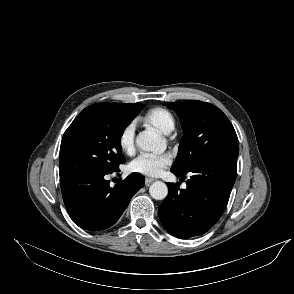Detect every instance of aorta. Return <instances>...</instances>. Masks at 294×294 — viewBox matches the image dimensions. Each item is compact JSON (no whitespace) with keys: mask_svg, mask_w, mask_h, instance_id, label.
Returning <instances> with one entry per match:
<instances>
[{"mask_svg":"<svg viewBox=\"0 0 294 294\" xmlns=\"http://www.w3.org/2000/svg\"><path fill=\"white\" fill-rule=\"evenodd\" d=\"M136 143L144 151L155 152L159 150L163 140L158 133L148 130L138 135ZM149 193L153 199L163 200L168 195V187L164 182L156 181L150 186Z\"/></svg>","mask_w":294,"mask_h":294,"instance_id":"aorta-1","label":"aorta"}]
</instances>
